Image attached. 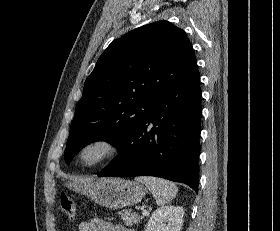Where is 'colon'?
Masks as SVG:
<instances>
[{
    "mask_svg": "<svg viewBox=\"0 0 280 231\" xmlns=\"http://www.w3.org/2000/svg\"><path fill=\"white\" fill-rule=\"evenodd\" d=\"M59 204L61 207V212L62 213H74L75 209H74V202L73 199L71 197V195L67 192H62L59 196ZM66 220H70L71 216L70 215H66L65 216Z\"/></svg>",
    "mask_w": 280,
    "mask_h": 231,
    "instance_id": "5ec220e1",
    "label": "colon"
}]
</instances>
